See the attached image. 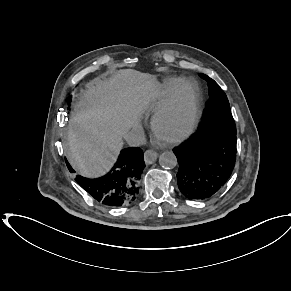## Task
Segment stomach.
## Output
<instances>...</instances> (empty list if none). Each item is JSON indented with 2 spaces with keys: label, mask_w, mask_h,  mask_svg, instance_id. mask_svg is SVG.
Instances as JSON below:
<instances>
[{
  "label": "stomach",
  "mask_w": 291,
  "mask_h": 291,
  "mask_svg": "<svg viewBox=\"0 0 291 291\" xmlns=\"http://www.w3.org/2000/svg\"><path fill=\"white\" fill-rule=\"evenodd\" d=\"M155 80L160 81V77L156 76Z\"/></svg>",
  "instance_id": "stomach-1"
}]
</instances>
